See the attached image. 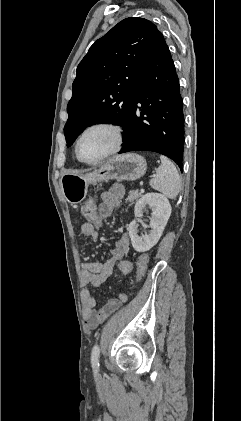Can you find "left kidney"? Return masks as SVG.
Listing matches in <instances>:
<instances>
[{"label":"left kidney","mask_w":241,"mask_h":421,"mask_svg":"<svg viewBox=\"0 0 241 421\" xmlns=\"http://www.w3.org/2000/svg\"><path fill=\"white\" fill-rule=\"evenodd\" d=\"M146 206H149L152 210L149 233L143 238L139 237L136 220L132 221L128 228L132 246L137 252L148 251L159 241L171 214V205L168 199L159 193H147L136 202L135 218L142 214Z\"/></svg>","instance_id":"1"}]
</instances>
